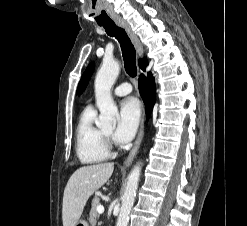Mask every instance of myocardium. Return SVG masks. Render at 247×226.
Listing matches in <instances>:
<instances>
[{
  "mask_svg": "<svg viewBox=\"0 0 247 226\" xmlns=\"http://www.w3.org/2000/svg\"><path fill=\"white\" fill-rule=\"evenodd\" d=\"M104 139H105V143H106V146H107V149L108 151H110L112 149V145L110 143V135L107 134V133H104Z\"/></svg>",
  "mask_w": 247,
  "mask_h": 226,
  "instance_id": "f54148a6",
  "label": "myocardium"
}]
</instances>
